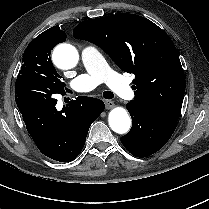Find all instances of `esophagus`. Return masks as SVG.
Listing matches in <instances>:
<instances>
[{
  "mask_svg": "<svg viewBox=\"0 0 209 209\" xmlns=\"http://www.w3.org/2000/svg\"><path fill=\"white\" fill-rule=\"evenodd\" d=\"M105 107L106 109H111L114 107V102L110 100H105Z\"/></svg>",
  "mask_w": 209,
  "mask_h": 209,
  "instance_id": "1",
  "label": "esophagus"
}]
</instances>
